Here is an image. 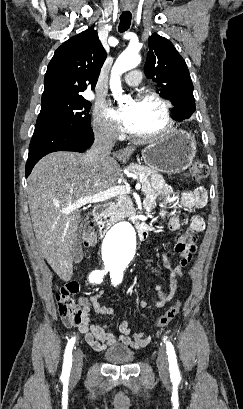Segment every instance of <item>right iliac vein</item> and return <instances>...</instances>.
<instances>
[{"instance_id":"right-iliac-vein-1","label":"right iliac vein","mask_w":243,"mask_h":409,"mask_svg":"<svg viewBox=\"0 0 243 409\" xmlns=\"http://www.w3.org/2000/svg\"><path fill=\"white\" fill-rule=\"evenodd\" d=\"M82 351L77 349L73 353V363H72V370H71V377L72 379H76L80 376L82 370Z\"/></svg>"}]
</instances>
